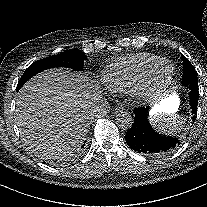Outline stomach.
Segmentation results:
<instances>
[{"mask_svg":"<svg viewBox=\"0 0 207 207\" xmlns=\"http://www.w3.org/2000/svg\"><path fill=\"white\" fill-rule=\"evenodd\" d=\"M179 103V98L175 94L164 98L154 107L152 112L153 118L158 117V114H174L178 110Z\"/></svg>","mask_w":207,"mask_h":207,"instance_id":"stomach-1","label":"stomach"}]
</instances>
